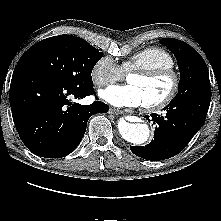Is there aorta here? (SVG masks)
I'll use <instances>...</instances> for the list:
<instances>
[{"mask_svg":"<svg viewBox=\"0 0 221 221\" xmlns=\"http://www.w3.org/2000/svg\"><path fill=\"white\" fill-rule=\"evenodd\" d=\"M117 126L122 138L130 143L140 145L150 137V128L147 124L131 123L124 118H120Z\"/></svg>","mask_w":221,"mask_h":221,"instance_id":"1","label":"aorta"}]
</instances>
